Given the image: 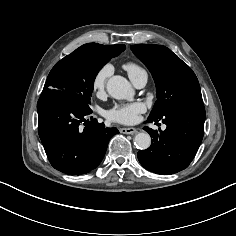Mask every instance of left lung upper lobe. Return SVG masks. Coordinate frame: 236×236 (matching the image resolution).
<instances>
[{"instance_id":"5c2ea615","label":"left lung upper lobe","mask_w":236,"mask_h":236,"mask_svg":"<svg viewBox=\"0 0 236 236\" xmlns=\"http://www.w3.org/2000/svg\"><path fill=\"white\" fill-rule=\"evenodd\" d=\"M131 50L151 72L157 101L149 115L162 119L171 107L189 100H202L198 79L191 68L175 53L162 45H132Z\"/></svg>"}]
</instances>
